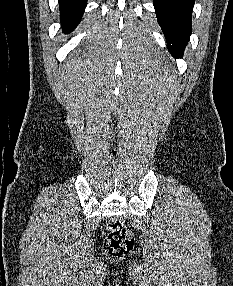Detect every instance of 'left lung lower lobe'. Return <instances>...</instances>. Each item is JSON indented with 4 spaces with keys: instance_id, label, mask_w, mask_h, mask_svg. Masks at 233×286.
Returning a JSON list of instances; mask_svg holds the SVG:
<instances>
[{
    "instance_id": "0a47b994",
    "label": "left lung lower lobe",
    "mask_w": 233,
    "mask_h": 286,
    "mask_svg": "<svg viewBox=\"0 0 233 286\" xmlns=\"http://www.w3.org/2000/svg\"><path fill=\"white\" fill-rule=\"evenodd\" d=\"M194 2L195 0H153L157 21L174 57H182L189 41Z\"/></svg>"
}]
</instances>
